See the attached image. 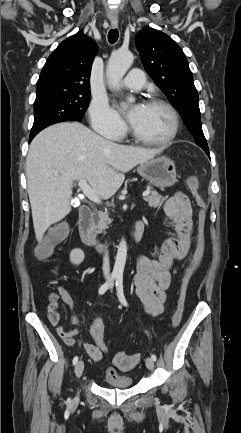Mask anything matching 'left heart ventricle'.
<instances>
[{"mask_svg":"<svg viewBox=\"0 0 241 433\" xmlns=\"http://www.w3.org/2000/svg\"><path fill=\"white\" fill-rule=\"evenodd\" d=\"M132 127L145 138L161 140L171 133L173 119L164 107L144 105Z\"/></svg>","mask_w":241,"mask_h":433,"instance_id":"left-heart-ventricle-1","label":"left heart ventricle"}]
</instances>
